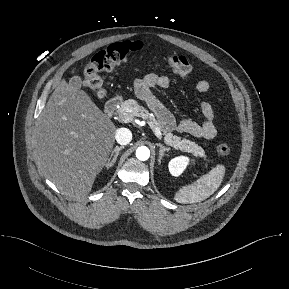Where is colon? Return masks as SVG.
I'll list each match as a JSON object with an SVG mask.
<instances>
[{
	"mask_svg": "<svg viewBox=\"0 0 289 289\" xmlns=\"http://www.w3.org/2000/svg\"><path fill=\"white\" fill-rule=\"evenodd\" d=\"M142 41H124L114 43L97 52L83 68V84L98 98L104 96L101 73L110 72L117 66L128 61L130 55L144 48ZM165 64L175 74L187 76L192 71L190 61L183 55H168L164 59ZM215 151L219 155H228L231 147L226 143H218Z\"/></svg>",
	"mask_w": 289,
	"mask_h": 289,
	"instance_id": "colon-1",
	"label": "colon"
}]
</instances>
